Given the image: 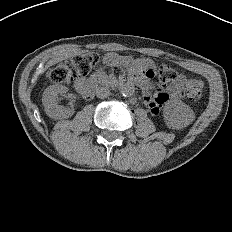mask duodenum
Listing matches in <instances>:
<instances>
[{
	"label": "duodenum",
	"instance_id": "1",
	"mask_svg": "<svg viewBox=\"0 0 232 232\" xmlns=\"http://www.w3.org/2000/svg\"><path fill=\"white\" fill-rule=\"evenodd\" d=\"M130 83L133 85L141 86L142 89H144L145 87V84L143 82H140L136 79H132ZM76 87L79 93H81L84 97L90 98L94 94L93 84L88 81H80L77 83Z\"/></svg>",
	"mask_w": 232,
	"mask_h": 232
}]
</instances>
